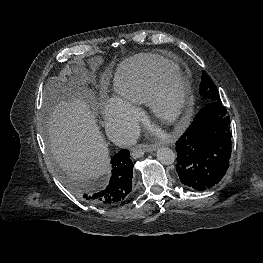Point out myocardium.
<instances>
[{
  "mask_svg": "<svg viewBox=\"0 0 263 263\" xmlns=\"http://www.w3.org/2000/svg\"><path fill=\"white\" fill-rule=\"evenodd\" d=\"M168 84H174L178 91V104L171 113H165L161 108L163 89ZM145 104L155 120L171 127L180 126L192 113L190 86L178 71L162 73L154 79Z\"/></svg>",
  "mask_w": 263,
  "mask_h": 263,
  "instance_id": "f54148a6",
  "label": "myocardium"
}]
</instances>
